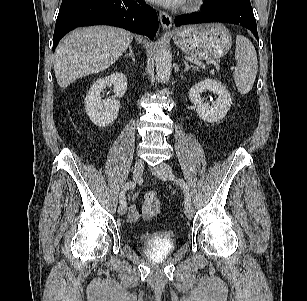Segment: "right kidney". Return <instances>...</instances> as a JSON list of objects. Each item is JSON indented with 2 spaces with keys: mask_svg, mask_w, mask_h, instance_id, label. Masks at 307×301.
I'll return each mask as SVG.
<instances>
[{
  "mask_svg": "<svg viewBox=\"0 0 307 301\" xmlns=\"http://www.w3.org/2000/svg\"><path fill=\"white\" fill-rule=\"evenodd\" d=\"M114 85V93L117 98L124 96L127 90V78L121 72L112 73L102 77L89 89L84 104L90 120L99 127L111 124L118 116L120 102L118 100H103L101 92L106 86Z\"/></svg>",
  "mask_w": 307,
  "mask_h": 301,
  "instance_id": "1",
  "label": "right kidney"
}]
</instances>
